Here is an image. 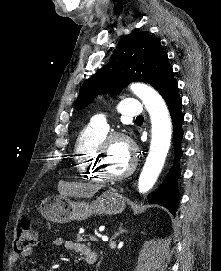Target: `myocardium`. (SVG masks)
Returning a JSON list of instances; mask_svg holds the SVG:
<instances>
[{
	"label": "myocardium",
	"instance_id": "f54148a6",
	"mask_svg": "<svg viewBox=\"0 0 221 271\" xmlns=\"http://www.w3.org/2000/svg\"><path fill=\"white\" fill-rule=\"evenodd\" d=\"M124 142L125 147H128L129 150H133L131 153L134 155L136 152L135 140H132L131 133H110V137H105L103 140V145H97V150H100L99 153L94 157L95 163H98L99 167L95 168V171L98 172V175H101L102 178H127L131 172L138 170L137 158H130V165L123 170L122 173H107L108 166L105 165V162L102 161L106 153H108L109 145H121Z\"/></svg>",
	"mask_w": 221,
	"mask_h": 271
}]
</instances>
